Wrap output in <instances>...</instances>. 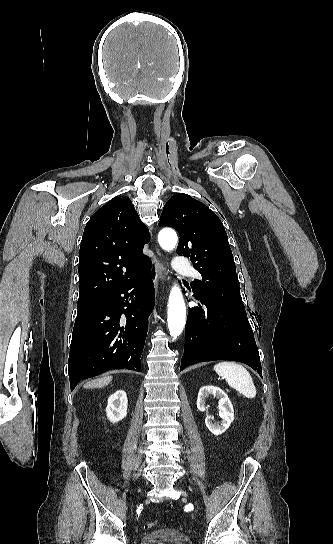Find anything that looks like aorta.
Instances as JSON below:
<instances>
[{
    "mask_svg": "<svg viewBox=\"0 0 333 544\" xmlns=\"http://www.w3.org/2000/svg\"><path fill=\"white\" fill-rule=\"evenodd\" d=\"M158 242L166 251H172L178 242L177 234L174 230L165 228L159 232ZM168 329L172 337L177 338L183 331L186 321V307L181 289L174 285L172 287L168 301Z\"/></svg>",
    "mask_w": 333,
    "mask_h": 544,
    "instance_id": "762f6f07",
    "label": "aorta"
}]
</instances>
